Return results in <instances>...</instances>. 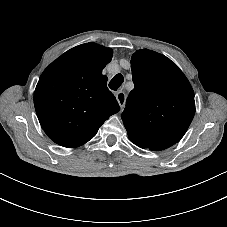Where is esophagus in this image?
Returning <instances> with one entry per match:
<instances>
[{"label":"esophagus","mask_w":227,"mask_h":227,"mask_svg":"<svg viewBox=\"0 0 227 227\" xmlns=\"http://www.w3.org/2000/svg\"><path fill=\"white\" fill-rule=\"evenodd\" d=\"M126 97H127V96H126V94H125L124 91H119V92H117V94H116V99H117V101H118V103H119L121 109H123L124 106H125Z\"/></svg>","instance_id":"esophagus-1"}]
</instances>
